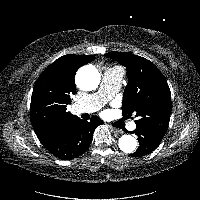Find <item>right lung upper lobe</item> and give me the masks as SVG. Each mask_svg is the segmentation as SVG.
Here are the masks:
<instances>
[{"label":"right lung upper lobe","instance_id":"1","mask_svg":"<svg viewBox=\"0 0 200 200\" xmlns=\"http://www.w3.org/2000/svg\"><path fill=\"white\" fill-rule=\"evenodd\" d=\"M93 60L95 57L91 55L62 56L37 79L31 97L30 120L40 142L59 126L77 118L66 111V105L76 92V71Z\"/></svg>","mask_w":200,"mask_h":200}]
</instances>
